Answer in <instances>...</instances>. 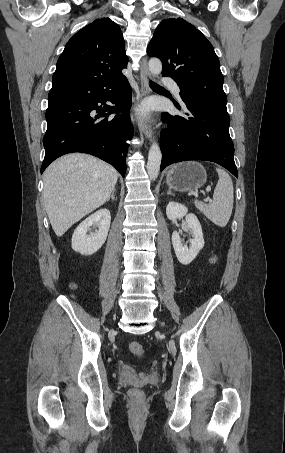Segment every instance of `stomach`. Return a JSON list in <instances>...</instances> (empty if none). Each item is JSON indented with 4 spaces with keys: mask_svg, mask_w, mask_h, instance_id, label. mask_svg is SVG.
Wrapping results in <instances>:
<instances>
[{
    "mask_svg": "<svg viewBox=\"0 0 285 453\" xmlns=\"http://www.w3.org/2000/svg\"><path fill=\"white\" fill-rule=\"evenodd\" d=\"M207 173L202 164L186 161L172 166L166 175L167 185L179 192H191L203 186Z\"/></svg>",
    "mask_w": 285,
    "mask_h": 453,
    "instance_id": "1",
    "label": "stomach"
}]
</instances>
